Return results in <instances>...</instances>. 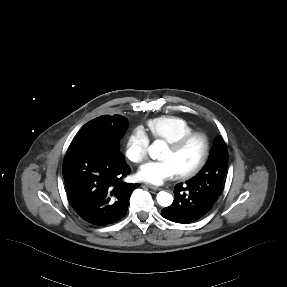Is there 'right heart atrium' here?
<instances>
[{
  "instance_id": "d8ad5b80",
  "label": "right heart atrium",
  "mask_w": 287,
  "mask_h": 287,
  "mask_svg": "<svg viewBox=\"0 0 287 287\" xmlns=\"http://www.w3.org/2000/svg\"><path fill=\"white\" fill-rule=\"evenodd\" d=\"M149 139L141 128L133 129L125 143V156L133 163L143 162L148 155Z\"/></svg>"
}]
</instances>
